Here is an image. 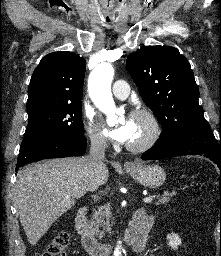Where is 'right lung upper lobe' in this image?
<instances>
[{"label": "right lung upper lobe", "instance_id": "cb5924a9", "mask_svg": "<svg viewBox=\"0 0 221 256\" xmlns=\"http://www.w3.org/2000/svg\"><path fill=\"white\" fill-rule=\"evenodd\" d=\"M85 62L79 55L63 51L42 58L30 80L27 109L44 104L81 103Z\"/></svg>", "mask_w": 221, "mask_h": 256}]
</instances>
